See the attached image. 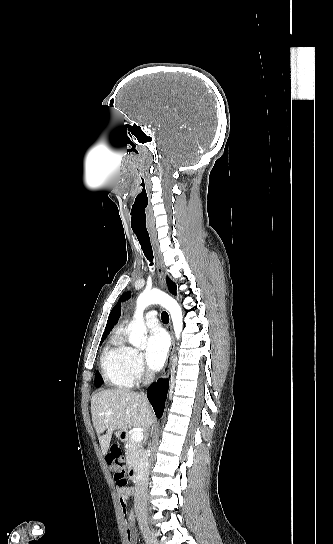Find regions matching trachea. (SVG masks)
<instances>
[{
  "label": "trachea",
  "mask_w": 333,
  "mask_h": 544,
  "mask_svg": "<svg viewBox=\"0 0 333 544\" xmlns=\"http://www.w3.org/2000/svg\"><path fill=\"white\" fill-rule=\"evenodd\" d=\"M135 234L141 245V248L145 257L150 262V266H152L153 265V250H152L149 234H144V233H135ZM161 319L164 323H168L169 322L168 313L165 311L162 312Z\"/></svg>",
  "instance_id": "trachea-1"
}]
</instances>
